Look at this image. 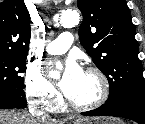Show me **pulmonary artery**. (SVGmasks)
I'll use <instances>...</instances> for the list:
<instances>
[{"mask_svg": "<svg viewBox=\"0 0 145 124\" xmlns=\"http://www.w3.org/2000/svg\"><path fill=\"white\" fill-rule=\"evenodd\" d=\"M73 43V36L69 32H64L60 36L49 43L46 50L51 55H61L67 52Z\"/></svg>", "mask_w": 145, "mask_h": 124, "instance_id": "e3ab8cb5", "label": "pulmonary artery"}]
</instances>
